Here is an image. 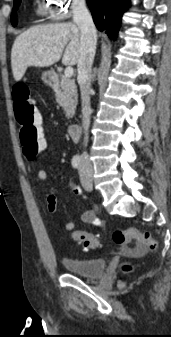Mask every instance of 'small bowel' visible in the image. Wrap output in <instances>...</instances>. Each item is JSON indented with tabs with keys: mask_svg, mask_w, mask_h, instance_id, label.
Here are the masks:
<instances>
[{
	"mask_svg": "<svg viewBox=\"0 0 171 337\" xmlns=\"http://www.w3.org/2000/svg\"><path fill=\"white\" fill-rule=\"evenodd\" d=\"M48 144V141H47ZM37 176L40 180L45 181L48 177L47 171L44 168H40L37 172ZM65 189H69L75 196L85 198V195L83 194V191L80 187L76 186L75 184L68 182L64 184L63 186ZM55 189H51L50 194L48 195L47 198V210L50 214H54L57 209V201L56 197L54 195ZM80 219L82 222L99 226L101 225V220L96 214L95 211L93 210H88L85 211L81 214ZM75 228V223L74 222H67L63 225H61V229L66 232L73 231Z\"/></svg>",
	"mask_w": 171,
	"mask_h": 337,
	"instance_id": "small-bowel-1",
	"label": "small bowel"
}]
</instances>
